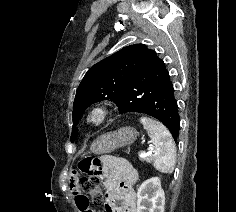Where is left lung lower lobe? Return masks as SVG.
Segmentation results:
<instances>
[{
  "instance_id": "left-lung-lower-lobe-1",
  "label": "left lung lower lobe",
  "mask_w": 236,
  "mask_h": 212,
  "mask_svg": "<svg viewBox=\"0 0 236 212\" xmlns=\"http://www.w3.org/2000/svg\"><path fill=\"white\" fill-rule=\"evenodd\" d=\"M119 113H144L161 121L176 141L180 119L173 84L165 63L148 49L130 84L116 102Z\"/></svg>"
}]
</instances>
